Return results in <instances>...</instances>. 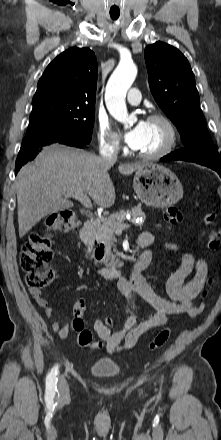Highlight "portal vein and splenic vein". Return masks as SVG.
I'll return each mask as SVG.
<instances>
[{
  "instance_id": "portal-vein-and-splenic-vein-1",
  "label": "portal vein and splenic vein",
  "mask_w": 221,
  "mask_h": 440,
  "mask_svg": "<svg viewBox=\"0 0 221 440\" xmlns=\"http://www.w3.org/2000/svg\"><path fill=\"white\" fill-rule=\"evenodd\" d=\"M67 196L74 197L75 199L79 200L85 208L92 209L93 205L86 193L82 192H75V193H68ZM130 225L128 223H118L114 226L115 232H122L124 228H128Z\"/></svg>"
}]
</instances>
